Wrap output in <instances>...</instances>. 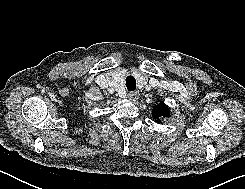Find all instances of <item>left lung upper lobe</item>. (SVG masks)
Listing matches in <instances>:
<instances>
[{
    "mask_svg": "<svg viewBox=\"0 0 245 189\" xmlns=\"http://www.w3.org/2000/svg\"><path fill=\"white\" fill-rule=\"evenodd\" d=\"M170 114L168 106L164 102H160L152 109V115L158 123H161V119L168 117Z\"/></svg>",
    "mask_w": 245,
    "mask_h": 189,
    "instance_id": "left-lung-upper-lobe-1",
    "label": "left lung upper lobe"
}]
</instances>
